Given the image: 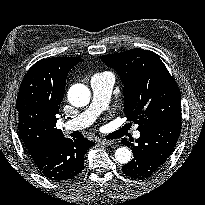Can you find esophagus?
I'll return each mask as SVG.
<instances>
[{
	"instance_id": "esophagus-1",
	"label": "esophagus",
	"mask_w": 205,
	"mask_h": 205,
	"mask_svg": "<svg viewBox=\"0 0 205 205\" xmlns=\"http://www.w3.org/2000/svg\"><path fill=\"white\" fill-rule=\"evenodd\" d=\"M98 142H99V143H102L103 145H106V146L112 145V144L114 143V141H112V140H106V139H100Z\"/></svg>"
}]
</instances>
